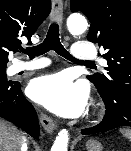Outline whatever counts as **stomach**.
Instances as JSON below:
<instances>
[{"instance_id": "stomach-1", "label": "stomach", "mask_w": 131, "mask_h": 151, "mask_svg": "<svg viewBox=\"0 0 131 151\" xmlns=\"http://www.w3.org/2000/svg\"><path fill=\"white\" fill-rule=\"evenodd\" d=\"M87 151H103L102 144L97 140H89L86 143Z\"/></svg>"}]
</instances>
